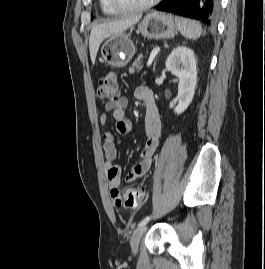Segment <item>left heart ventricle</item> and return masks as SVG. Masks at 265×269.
Returning <instances> with one entry per match:
<instances>
[{"label": "left heart ventricle", "mask_w": 265, "mask_h": 269, "mask_svg": "<svg viewBox=\"0 0 265 269\" xmlns=\"http://www.w3.org/2000/svg\"><path fill=\"white\" fill-rule=\"evenodd\" d=\"M124 6H136L143 4L149 0H118Z\"/></svg>", "instance_id": "1"}]
</instances>
